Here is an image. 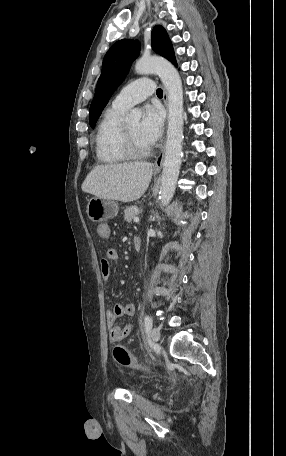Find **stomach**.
Returning a JSON list of instances; mask_svg holds the SVG:
<instances>
[{"label":"stomach","instance_id":"0dacf381","mask_svg":"<svg viewBox=\"0 0 286 456\" xmlns=\"http://www.w3.org/2000/svg\"><path fill=\"white\" fill-rule=\"evenodd\" d=\"M119 206L117 202L98 197L91 198L87 204L86 213L93 222H102L117 216Z\"/></svg>","mask_w":286,"mask_h":456}]
</instances>
